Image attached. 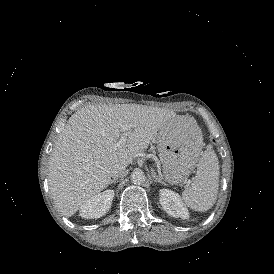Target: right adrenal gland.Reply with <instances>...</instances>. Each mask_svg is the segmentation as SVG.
Returning <instances> with one entry per match:
<instances>
[{
  "instance_id": "right-adrenal-gland-1",
  "label": "right adrenal gland",
  "mask_w": 274,
  "mask_h": 274,
  "mask_svg": "<svg viewBox=\"0 0 274 274\" xmlns=\"http://www.w3.org/2000/svg\"><path fill=\"white\" fill-rule=\"evenodd\" d=\"M117 181H118V178H115V179H112V180L110 181V183H117Z\"/></svg>"
}]
</instances>
